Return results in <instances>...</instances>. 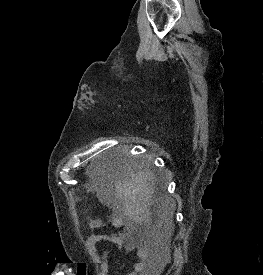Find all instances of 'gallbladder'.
Listing matches in <instances>:
<instances>
[{
  "label": "gallbladder",
  "instance_id": "obj_1",
  "mask_svg": "<svg viewBox=\"0 0 263 275\" xmlns=\"http://www.w3.org/2000/svg\"><path fill=\"white\" fill-rule=\"evenodd\" d=\"M99 200L102 202V203H105L106 202V198H104V196H102V195H99Z\"/></svg>",
  "mask_w": 263,
  "mask_h": 275
}]
</instances>
